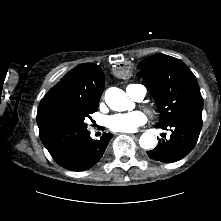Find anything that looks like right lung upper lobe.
I'll list each match as a JSON object with an SVG mask.
<instances>
[{"label": "right lung upper lobe", "mask_w": 221, "mask_h": 221, "mask_svg": "<svg viewBox=\"0 0 221 221\" xmlns=\"http://www.w3.org/2000/svg\"><path fill=\"white\" fill-rule=\"evenodd\" d=\"M104 83V75L96 64H80L49 90L41 100L38 112L59 103L82 107L97 105L104 90Z\"/></svg>", "instance_id": "obj_1"}]
</instances>
